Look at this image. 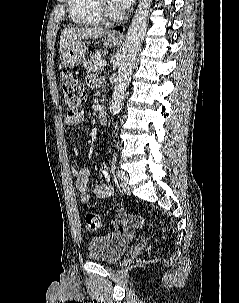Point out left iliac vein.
Instances as JSON below:
<instances>
[{
	"label": "left iliac vein",
	"instance_id": "left-iliac-vein-1",
	"mask_svg": "<svg viewBox=\"0 0 239 303\" xmlns=\"http://www.w3.org/2000/svg\"><path fill=\"white\" fill-rule=\"evenodd\" d=\"M120 172L122 174V176L120 177L121 178V187H122L123 191L129 195L131 193V189L128 184V181H129L128 175L124 171H120Z\"/></svg>",
	"mask_w": 239,
	"mask_h": 303
}]
</instances>
